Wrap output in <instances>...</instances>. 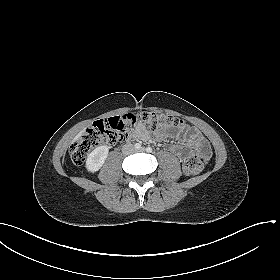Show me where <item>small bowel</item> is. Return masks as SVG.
<instances>
[{
    "instance_id": "small-bowel-1",
    "label": "small bowel",
    "mask_w": 280,
    "mask_h": 280,
    "mask_svg": "<svg viewBox=\"0 0 280 280\" xmlns=\"http://www.w3.org/2000/svg\"><path fill=\"white\" fill-rule=\"evenodd\" d=\"M131 137L137 140H146L149 137V132L143 125L138 124L134 128ZM194 147L199 151L210 150L209 144L197 129H188L183 138L182 144H175L171 146L170 150L174 154L182 157L186 154L189 148Z\"/></svg>"
}]
</instances>
